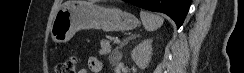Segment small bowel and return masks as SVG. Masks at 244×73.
I'll return each instance as SVG.
<instances>
[{
  "label": "small bowel",
  "instance_id": "obj_1",
  "mask_svg": "<svg viewBox=\"0 0 244 73\" xmlns=\"http://www.w3.org/2000/svg\"><path fill=\"white\" fill-rule=\"evenodd\" d=\"M102 68V62L95 57H91L88 59L87 69H81L79 73H100Z\"/></svg>",
  "mask_w": 244,
  "mask_h": 73
}]
</instances>
